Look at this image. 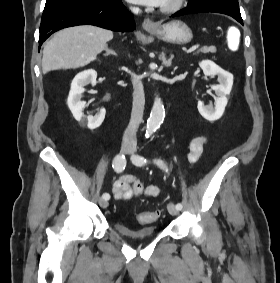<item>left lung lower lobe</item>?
Here are the masks:
<instances>
[{
    "label": "left lung lower lobe",
    "instance_id": "obj_1",
    "mask_svg": "<svg viewBox=\"0 0 280 283\" xmlns=\"http://www.w3.org/2000/svg\"><path fill=\"white\" fill-rule=\"evenodd\" d=\"M200 12H216V13L226 14V15L233 17L234 19H236L241 24H243L242 18L231 15L228 12H225L223 10L213 8V7H207V6H188V7L184 8L183 10H180L179 12L173 14L172 17L186 15V14H192V13H200Z\"/></svg>",
    "mask_w": 280,
    "mask_h": 283
}]
</instances>
